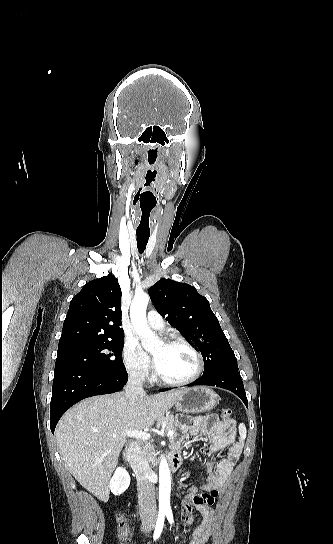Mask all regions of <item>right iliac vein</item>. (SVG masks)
Masks as SVG:
<instances>
[{"label":"right iliac vein","instance_id":"63e3f726","mask_svg":"<svg viewBox=\"0 0 333 544\" xmlns=\"http://www.w3.org/2000/svg\"><path fill=\"white\" fill-rule=\"evenodd\" d=\"M152 527H153L152 523H146L145 526H144V529H145L146 532H150Z\"/></svg>","mask_w":333,"mask_h":544}]
</instances>
